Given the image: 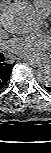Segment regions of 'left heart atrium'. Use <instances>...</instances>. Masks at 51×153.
I'll use <instances>...</instances> for the list:
<instances>
[{
    "label": "left heart atrium",
    "mask_w": 51,
    "mask_h": 153,
    "mask_svg": "<svg viewBox=\"0 0 51 153\" xmlns=\"http://www.w3.org/2000/svg\"><path fill=\"white\" fill-rule=\"evenodd\" d=\"M49 46L50 38L42 33L15 38L9 43L13 53L27 60L39 59Z\"/></svg>",
    "instance_id": "39dd6f15"
}]
</instances>
